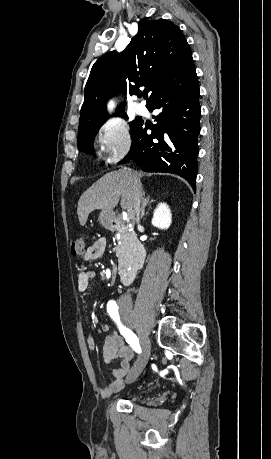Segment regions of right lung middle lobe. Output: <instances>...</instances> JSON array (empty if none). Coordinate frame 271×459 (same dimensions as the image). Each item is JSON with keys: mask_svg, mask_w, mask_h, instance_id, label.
Segmentation results:
<instances>
[{"mask_svg": "<svg viewBox=\"0 0 271 459\" xmlns=\"http://www.w3.org/2000/svg\"><path fill=\"white\" fill-rule=\"evenodd\" d=\"M117 116L124 117L127 119L126 114L119 113ZM107 120V117H100V118H94V119H89V120H84L81 121L79 124V129H78V148L83 151L87 152L91 155H95L94 148H93V140L100 129V127L104 124V122ZM141 123L140 119H135L134 121L130 122V126L133 130Z\"/></svg>", "mask_w": 271, "mask_h": 459, "instance_id": "dd1d6c3e", "label": "right lung middle lobe"}]
</instances>
